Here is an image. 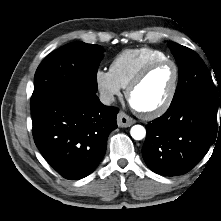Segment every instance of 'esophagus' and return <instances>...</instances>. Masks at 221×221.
I'll list each match as a JSON object with an SVG mask.
<instances>
[{
	"label": "esophagus",
	"mask_w": 221,
	"mask_h": 221,
	"mask_svg": "<svg viewBox=\"0 0 221 221\" xmlns=\"http://www.w3.org/2000/svg\"><path fill=\"white\" fill-rule=\"evenodd\" d=\"M135 123V120L126 113L120 111L117 115V124L119 127H130Z\"/></svg>",
	"instance_id": "esophagus-1"
}]
</instances>
